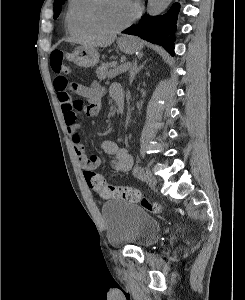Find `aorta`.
Wrapping results in <instances>:
<instances>
[{
	"instance_id": "obj_1",
	"label": "aorta",
	"mask_w": 245,
	"mask_h": 300,
	"mask_svg": "<svg viewBox=\"0 0 245 300\" xmlns=\"http://www.w3.org/2000/svg\"><path fill=\"white\" fill-rule=\"evenodd\" d=\"M172 2V0H148L147 12L151 16L161 14Z\"/></svg>"
}]
</instances>
